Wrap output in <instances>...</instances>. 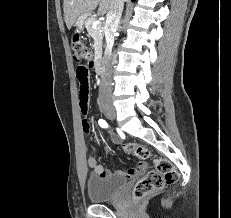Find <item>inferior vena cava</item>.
Wrapping results in <instances>:
<instances>
[{
  "mask_svg": "<svg viewBox=\"0 0 231 218\" xmlns=\"http://www.w3.org/2000/svg\"><path fill=\"white\" fill-rule=\"evenodd\" d=\"M124 1L125 0H112L111 9L106 16V48L103 57L101 82L99 87L100 100L108 99L112 94V47L114 44V33L118 29L119 21L124 8Z\"/></svg>",
  "mask_w": 231,
  "mask_h": 218,
  "instance_id": "inferior-vena-cava-1",
  "label": "inferior vena cava"
}]
</instances>
